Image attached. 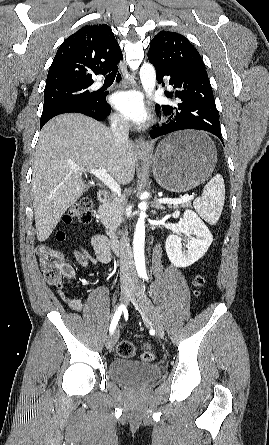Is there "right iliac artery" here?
<instances>
[{"label":"right iliac artery","mask_w":269,"mask_h":445,"mask_svg":"<svg viewBox=\"0 0 269 445\" xmlns=\"http://www.w3.org/2000/svg\"><path fill=\"white\" fill-rule=\"evenodd\" d=\"M125 310H126V307L123 304L120 305L118 307V309L116 310V312H115V314L113 316V319L111 321V324H110V333L114 332V330H115V328H116V326L118 324V321L120 319V316H121L122 312L125 311Z\"/></svg>","instance_id":"1"}]
</instances>
